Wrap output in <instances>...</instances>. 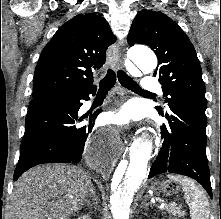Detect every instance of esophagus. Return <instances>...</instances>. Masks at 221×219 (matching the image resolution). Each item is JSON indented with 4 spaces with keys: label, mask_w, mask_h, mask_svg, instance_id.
<instances>
[{
    "label": "esophagus",
    "mask_w": 221,
    "mask_h": 219,
    "mask_svg": "<svg viewBox=\"0 0 221 219\" xmlns=\"http://www.w3.org/2000/svg\"><path fill=\"white\" fill-rule=\"evenodd\" d=\"M110 61L112 65L116 66L118 69H122L124 67V62L121 58L120 48L118 44H114L111 48Z\"/></svg>",
    "instance_id": "esophagus-1"
}]
</instances>
